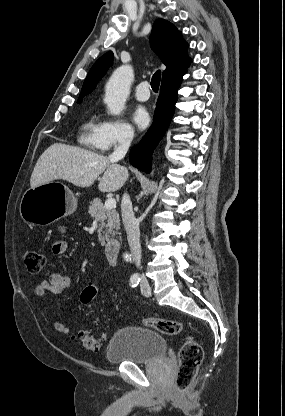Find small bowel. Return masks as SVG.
I'll use <instances>...</instances> for the list:
<instances>
[{"mask_svg":"<svg viewBox=\"0 0 285 416\" xmlns=\"http://www.w3.org/2000/svg\"><path fill=\"white\" fill-rule=\"evenodd\" d=\"M69 244L66 240H56L52 245V252L61 255L67 252ZM71 285V278L68 274L62 272H54L47 278H43L36 285L34 292L39 297L47 295H59L68 289ZM54 329L61 334H68L69 328L62 321L55 320L53 322Z\"/></svg>","mask_w":285,"mask_h":416,"instance_id":"obj_1","label":"small bowel"}]
</instances>
